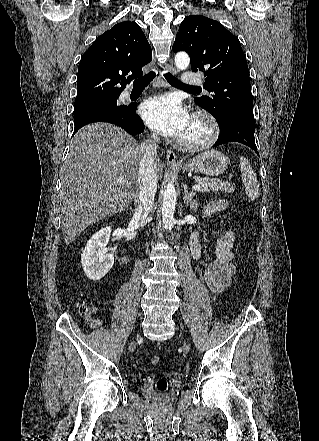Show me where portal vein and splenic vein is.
<instances>
[{
  "mask_svg": "<svg viewBox=\"0 0 319 441\" xmlns=\"http://www.w3.org/2000/svg\"><path fill=\"white\" fill-rule=\"evenodd\" d=\"M118 182H119V183H123V182H124L123 178H122V177H119V178H118ZM200 188H201V185H199V184L194 185V186L192 187V191L200 190Z\"/></svg>",
  "mask_w": 319,
  "mask_h": 441,
  "instance_id": "portal-vein-and-splenic-vein-1",
  "label": "portal vein and splenic vein"
}]
</instances>
